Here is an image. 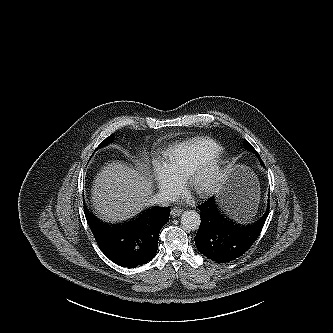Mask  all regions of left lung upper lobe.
I'll return each instance as SVG.
<instances>
[{
	"label": "left lung upper lobe",
	"instance_id": "5c2ea615",
	"mask_svg": "<svg viewBox=\"0 0 333 333\" xmlns=\"http://www.w3.org/2000/svg\"><path fill=\"white\" fill-rule=\"evenodd\" d=\"M245 145H246V148H247L248 150L252 151L253 153H255V154L257 155V157H258L259 160H260V163L263 165V162H262V160H261L259 154H258L257 151L252 147V145H251L249 142H247V141H245Z\"/></svg>",
	"mask_w": 333,
	"mask_h": 333
}]
</instances>
